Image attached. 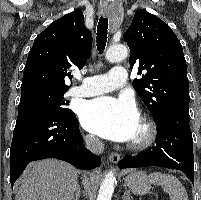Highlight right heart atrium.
I'll return each instance as SVG.
<instances>
[{
    "instance_id": "right-heart-atrium-1",
    "label": "right heart atrium",
    "mask_w": 201,
    "mask_h": 200,
    "mask_svg": "<svg viewBox=\"0 0 201 200\" xmlns=\"http://www.w3.org/2000/svg\"><path fill=\"white\" fill-rule=\"evenodd\" d=\"M86 142L88 143L89 146L93 148H97L99 146L98 140L92 135L86 136Z\"/></svg>"
}]
</instances>
